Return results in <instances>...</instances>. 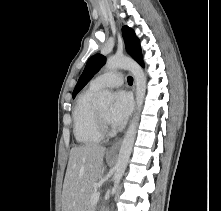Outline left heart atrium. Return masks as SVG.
<instances>
[{
	"mask_svg": "<svg viewBox=\"0 0 221 211\" xmlns=\"http://www.w3.org/2000/svg\"><path fill=\"white\" fill-rule=\"evenodd\" d=\"M133 107V102L130 94L124 90H119L115 93L114 103L108 113V120L114 127H122Z\"/></svg>",
	"mask_w": 221,
	"mask_h": 211,
	"instance_id": "1",
	"label": "left heart atrium"
}]
</instances>
